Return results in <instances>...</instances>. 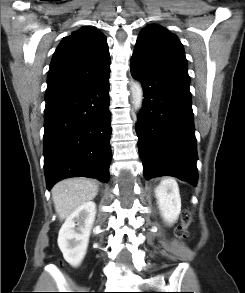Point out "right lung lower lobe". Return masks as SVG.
<instances>
[{"label": "right lung lower lobe", "mask_w": 245, "mask_h": 293, "mask_svg": "<svg viewBox=\"0 0 245 293\" xmlns=\"http://www.w3.org/2000/svg\"><path fill=\"white\" fill-rule=\"evenodd\" d=\"M109 76L46 103L44 170L49 190L70 177L108 182L112 132Z\"/></svg>", "instance_id": "1"}]
</instances>
